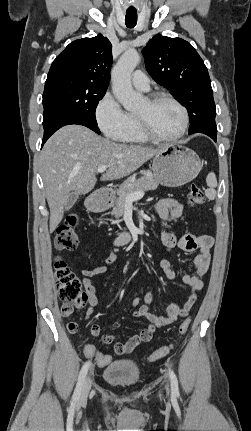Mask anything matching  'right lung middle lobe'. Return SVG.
<instances>
[{"mask_svg": "<svg viewBox=\"0 0 251 431\" xmlns=\"http://www.w3.org/2000/svg\"><path fill=\"white\" fill-rule=\"evenodd\" d=\"M107 87L72 75H48L43 93V124L62 115H75L97 123L95 110Z\"/></svg>", "mask_w": 251, "mask_h": 431, "instance_id": "dd1d6c3e", "label": "right lung middle lobe"}]
</instances>
